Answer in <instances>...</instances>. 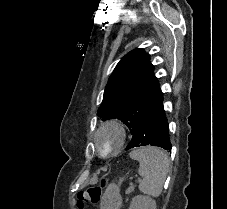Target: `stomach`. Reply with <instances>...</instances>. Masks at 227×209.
<instances>
[{
	"instance_id": "obj_1",
	"label": "stomach",
	"mask_w": 227,
	"mask_h": 209,
	"mask_svg": "<svg viewBox=\"0 0 227 209\" xmlns=\"http://www.w3.org/2000/svg\"><path fill=\"white\" fill-rule=\"evenodd\" d=\"M120 183H110L101 199V209H120L122 199L119 191Z\"/></svg>"
}]
</instances>
